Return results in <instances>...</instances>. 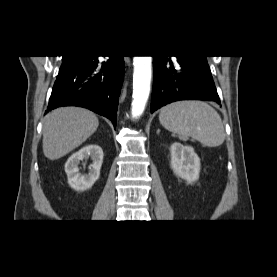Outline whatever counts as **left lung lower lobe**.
<instances>
[{
    "mask_svg": "<svg viewBox=\"0 0 277 277\" xmlns=\"http://www.w3.org/2000/svg\"><path fill=\"white\" fill-rule=\"evenodd\" d=\"M151 113L177 100L220 103L206 56H153Z\"/></svg>",
    "mask_w": 277,
    "mask_h": 277,
    "instance_id": "0a47b994",
    "label": "left lung lower lobe"
}]
</instances>
